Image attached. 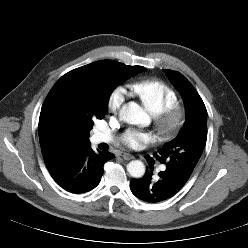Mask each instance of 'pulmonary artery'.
I'll list each match as a JSON object with an SVG mask.
<instances>
[{
  "instance_id": "obj_1",
  "label": "pulmonary artery",
  "mask_w": 248,
  "mask_h": 248,
  "mask_svg": "<svg viewBox=\"0 0 248 248\" xmlns=\"http://www.w3.org/2000/svg\"><path fill=\"white\" fill-rule=\"evenodd\" d=\"M111 141V137H109L108 135L101 133V132H97L93 135L92 138V142L97 144V143H102V142H110ZM161 170H165L166 167L165 166H161L160 168Z\"/></svg>"
}]
</instances>
